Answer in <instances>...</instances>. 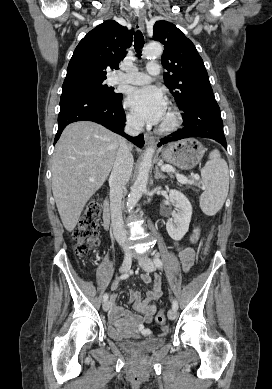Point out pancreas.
Returning a JSON list of instances; mask_svg holds the SVG:
<instances>
[{
	"mask_svg": "<svg viewBox=\"0 0 272 389\" xmlns=\"http://www.w3.org/2000/svg\"><path fill=\"white\" fill-rule=\"evenodd\" d=\"M171 177H174L172 174L170 175ZM188 183H190V182H188ZM192 183H193V181H192Z\"/></svg>",
	"mask_w": 272,
	"mask_h": 389,
	"instance_id": "pancreas-1",
	"label": "pancreas"
}]
</instances>
